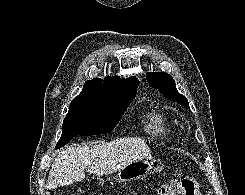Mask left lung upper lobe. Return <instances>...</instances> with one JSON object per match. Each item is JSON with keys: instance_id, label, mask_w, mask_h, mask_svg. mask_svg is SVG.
Returning a JSON list of instances; mask_svg holds the SVG:
<instances>
[{"instance_id": "obj_1", "label": "left lung upper lobe", "mask_w": 245, "mask_h": 195, "mask_svg": "<svg viewBox=\"0 0 245 195\" xmlns=\"http://www.w3.org/2000/svg\"><path fill=\"white\" fill-rule=\"evenodd\" d=\"M146 79L153 88L158 89L166 98L182 103L185 107L189 108L188 100L185 96L178 93L175 81L169 74L165 72L147 73Z\"/></svg>"}]
</instances>
